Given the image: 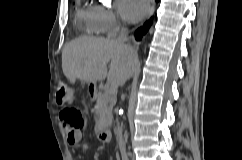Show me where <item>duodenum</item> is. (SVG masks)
I'll return each instance as SVG.
<instances>
[{
    "label": "duodenum",
    "instance_id": "duodenum-1",
    "mask_svg": "<svg viewBox=\"0 0 242 160\" xmlns=\"http://www.w3.org/2000/svg\"><path fill=\"white\" fill-rule=\"evenodd\" d=\"M98 138L102 142H108L110 140V131L108 129L100 130Z\"/></svg>",
    "mask_w": 242,
    "mask_h": 160
}]
</instances>
